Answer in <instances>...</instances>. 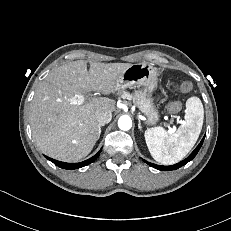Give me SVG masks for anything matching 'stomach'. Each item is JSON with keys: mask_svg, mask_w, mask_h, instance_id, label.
<instances>
[{"mask_svg": "<svg viewBox=\"0 0 231 231\" xmlns=\"http://www.w3.org/2000/svg\"><path fill=\"white\" fill-rule=\"evenodd\" d=\"M136 91L133 101L139 110L145 115L148 125H155L160 118L159 111L153 103L152 92L157 88V73L149 63L132 64L126 68L117 78L116 89L141 87Z\"/></svg>", "mask_w": 231, "mask_h": 231, "instance_id": "obj_1", "label": "stomach"}]
</instances>
